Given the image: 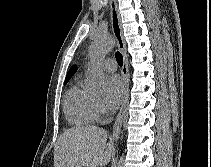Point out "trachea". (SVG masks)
Segmentation results:
<instances>
[{
    "label": "trachea",
    "instance_id": "1",
    "mask_svg": "<svg viewBox=\"0 0 211 167\" xmlns=\"http://www.w3.org/2000/svg\"><path fill=\"white\" fill-rule=\"evenodd\" d=\"M115 57H116V60H117V63L119 64V66H122L123 64V56L120 52H116L115 53Z\"/></svg>",
    "mask_w": 211,
    "mask_h": 167
}]
</instances>
